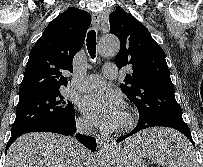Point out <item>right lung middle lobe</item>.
<instances>
[{
    "instance_id": "right-lung-middle-lobe-1",
    "label": "right lung middle lobe",
    "mask_w": 203,
    "mask_h": 167,
    "mask_svg": "<svg viewBox=\"0 0 203 167\" xmlns=\"http://www.w3.org/2000/svg\"><path fill=\"white\" fill-rule=\"evenodd\" d=\"M75 115L73 104L60 91L49 92L19 102L11 135H17L33 127L62 121Z\"/></svg>"
}]
</instances>
